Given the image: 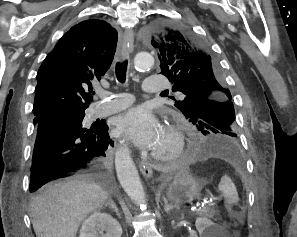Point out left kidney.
<instances>
[{
  "mask_svg": "<svg viewBox=\"0 0 297 237\" xmlns=\"http://www.w3.org/2000/svg\"><path fill=\"white\" fill-rule=\"evenodd\" d=\"M199 237H217V225L206 217H198L195 222ZM190 237H197L195 234Z\"/></svg>",
  "mask_w": 297,
  "mask_h": 237,
  "instance_id": "1",
  "label": "left kidney"
}]
</instances>
